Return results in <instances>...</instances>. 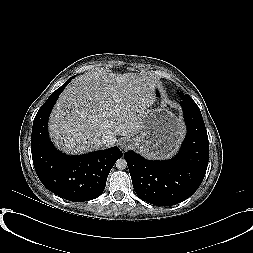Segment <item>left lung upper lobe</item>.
I'll use <instances>...</instances> for the list:
<instances>
[{"mask_svg":"<svg viewBox=\"0 0 253 253\" xmlns=\"http://www.w3.org/2000/svg\"><path fill=\"white\" fill-rule=\"evenodd\" d=\"M181 94H182V97H183L184 99L193 101L192 98H191L188 94H185V95H184L183 93H181Z\"/></svg>","mask_w":253,"mask_h":253,"instance_id":"left-lung-upper-lobe-1","label":"left lung upper lobe"}]
</instances>
